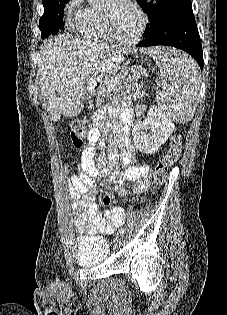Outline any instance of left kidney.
I'll list each match as a JSON object with an SVG mask.
<instances>
[{"instance_id": "1", "label": "left kidney", "mask_w": 227, "mask_h": 315, "mask_svg": "<svg viewBox=\"0 0 227 315\" xmlns=\"http://www.w3.org/2000/svg\"><path fill=\"white\" fill-rule=\"evenodd\" d=\"M174 129L172 121L159 108L151 106L144 122L133 128L135 146L143 153L153 154L166 142Z\"/></svg>"}]
</instances>
